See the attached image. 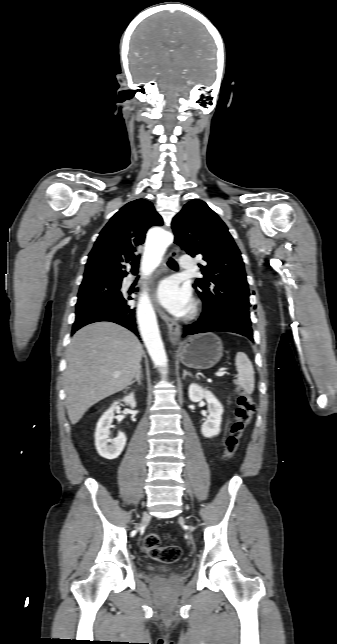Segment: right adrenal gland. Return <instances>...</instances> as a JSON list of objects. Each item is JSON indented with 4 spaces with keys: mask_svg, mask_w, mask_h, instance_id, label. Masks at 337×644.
I'll use <instances>...</instances> for the list:
<instances>
[{
    "mask_svg": "<svg viewBox=\"0 0 337 644\" xmlns=\"http://www.w3.org/2000/svg\"><path fill=\"white\" fill-rule=\"evenodd\" d=\"M141 380H142V371L141 369L138 371V373L135 376V379L131 381L130 385L137 382L139 385H141Z\"/></svg>",
    "mask_w": 337,
    "mask_h": 644,
    "instance_id": "obj_1",
    "label": "right adrenal gland"
}]
</instances>
